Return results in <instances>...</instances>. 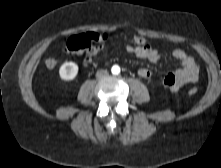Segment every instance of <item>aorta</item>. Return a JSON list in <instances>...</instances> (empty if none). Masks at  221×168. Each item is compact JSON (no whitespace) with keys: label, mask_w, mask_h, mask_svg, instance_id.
<instances>
[{"label":"aorta","mask_w":221,"mask_h":168,"mask_svg":"<svg viewBox=\"0 0 221 168\" xmlns=\"http://www.w3.org/2000/svg\"><path fill=\"white\" fill-rule=\"evenodd\" d=\"M111 71L113 74H118L120 72V68L118 66H113Z\"/></svg>","instance_id":"1"}]
</instances>
